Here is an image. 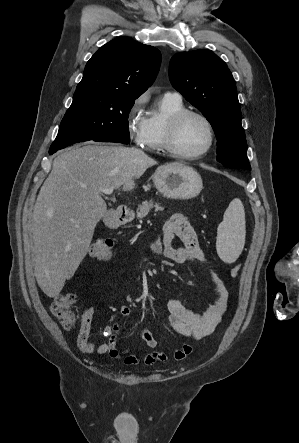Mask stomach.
Masks as SVG:
<instances>
[{
	"label": "stomach",
	"mask_w": 299,
	"mask_h": 443,
	"mask_svg": "<svg viewBox=\"0 0 299 443\" xmlns=\"http://www.w3.org/2000/svg\"><path fill=\"white\" fill-rule=\"evenodd\" d=\"M155 188L169 199L187 200L196 197L203 188L198 172L181 163H170L160 166L153 174ZM123 222L115 218L113 227Z\"/></svg>",
	"instance_id": "1"
}]
</instances>
